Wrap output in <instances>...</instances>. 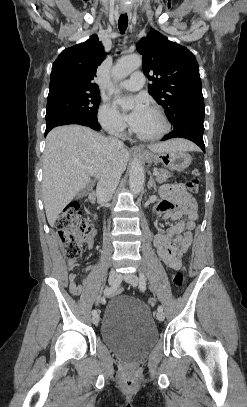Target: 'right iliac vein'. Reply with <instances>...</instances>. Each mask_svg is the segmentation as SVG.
<instances>
[{
    "label": "right iliac vein",
    "mask_w": 247,
    "mask_h": 407,
    "mask_svg": "<svg viewBox=\"0 0 247 407\" xmlns=\"http://www.w3.org/2000/svg\"><path fill=\"white\" fill-rule=\"evenodd\" d=\"M120 280H121V275L119 273H117L116 270H111L110 274H109V279H108L109 284L110 285H117L120 282ZM99 319H100L99 315H97V314L94 315L92 317L93 324L97 325L99 323Z\"/></svg>",
    "instance_id": "1"
}]
</instances>
